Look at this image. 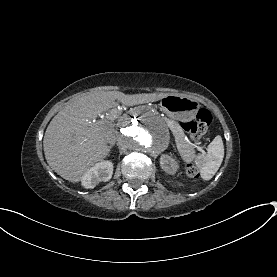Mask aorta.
<instances>
[{
    "label": "aorta",
    "mask_w": 277,
    "mask_h": 277,
    "mask_svg": "<svg viewBox=\"0 0 277 277\" xmlns=\"http://www.w3.org/2000/svg\"><path fill=\"white\" fill-rule=\"evenodd\" d=\"M118 141L130 151L156 157L170 142L164 120L150 109H136L119 122Z\"/></svg>",
    "instance_id": "1"
}]
</instances>
